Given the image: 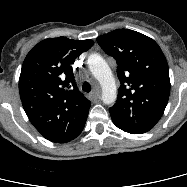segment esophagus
Returning a JSON list of instances; mask_svg holds the SVG:
<instances>
[{
    "instance_id": "1",
    "label": "esophagus",
    "mask_w": 187,
    "mask_h": 187,
    "mask_svg": "<svg viewBox=\"0 0 187 187\" xmlns=\"http://www.w3.org/2000/svg\"><path fill=\"white\" fill-rule=\"evenodd\" d=\"M100 91L99 90H94L92 93L89 94V99L91 101H96L100 98Z\"/></svg>"
}]
</instances>
